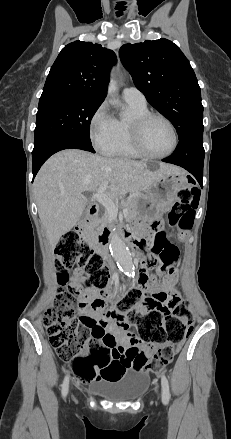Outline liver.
<instances>
[{"mask_svg": "<svg viewBox=\"0 0 231 439\" xmlns=\"http://www.w3.org/2000/svg\"><path fill=\"white\" fill-rule=\"evenodd\" d=\"M181 172L171 164L159 163V168L151 171L145 162L78 149L56 153L44 163L34 181L38 214L51 249L80 220L86 206L83 192L105 185V195L115 198L122 192H144L161 177Z\"/></svg>", "mask_w": 231, "mask_h": 439, "instance_id": "liver-1", "label": "liver"}]
</instances>
